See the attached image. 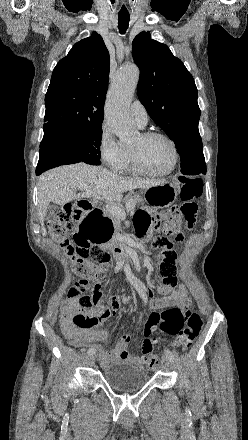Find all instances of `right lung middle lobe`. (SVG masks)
Returning a JSON list of instances; mask_svg holds the SVG:
<instances>
[{"label": "right lung middle lobe", "instance_id": "dd1d6c3e", "mask_svg": "<svg viewBox=\"0 0 248 440\" xmlns=\"http://www.w3.org/2000/svg\"><path fill=\"white\" fill-rule=\"evenodd\" d=\"M102 125L83 131L43 137L36 174L65 164L99 165Z\"/></svg>", "mask_w": 248, "mask_h": 440}]
</instances>
